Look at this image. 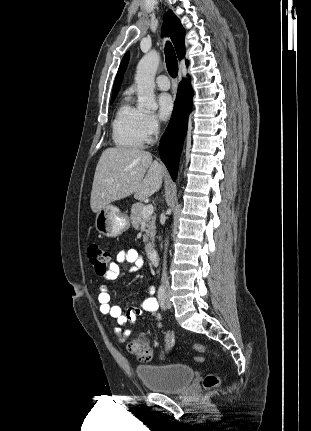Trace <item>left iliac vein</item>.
Returning <instances> with one entry per match:
<instances>
[{"mask_svg":"<svg viewBox=\"0 0 311 431\" xmlns=\"http://www.w3.org/2000/svg\"><path fill=\"white\" fill-rule=\"evenodd\" d=\"M166 306L168 309L171 308V302L169 301L168 293H166Z\"/></svg>","mask_w":311,"mask_h":431,"instance_id":"left-iliac-vein-1","label":"left iliac vein"}]
</instances>
